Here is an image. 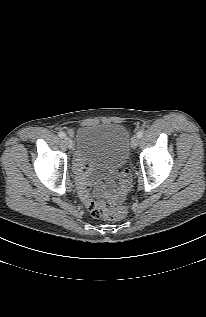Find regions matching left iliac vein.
Segmentation results:
<instances>
[{
    "label": "left iliac vein",
    "mask_w": 206,
    "mask_h": 317,
    "mask_svg": "<svg viewBox=\"0 0 206 317\" xmlns=\"http://www.w3.org/2000/svg\"><path fill=\"white\" fill-rule=\"evenodd\" d=\"M139 137L137 135L133 136L132 140H131V147L132 148H137L138 144H139Z\"/></svg>",
    "instance_id": "left-iliac-vein-1"
}]
</instances>
